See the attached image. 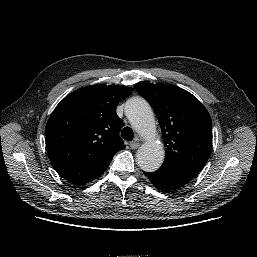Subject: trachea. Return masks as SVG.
Returning a JSON list of instances; mask_svg holds the SVG:
<instances>
[{
  "label": "trachea",
  "mask_w": 257,
  "mask_h": 257,
  "mask_svg": "<svg viewBox=\"0 0 257 257\" xmlns=\"http://www.w3.org/2000/svg\"><path fill=\"white\" fill-rule=\"evenodd\" d=\"M121 136L127 141H131L134 137L133 130L130 127H125L122 129Z\"/></svg>",
  "instance_id": "1"
}]
</instances>
